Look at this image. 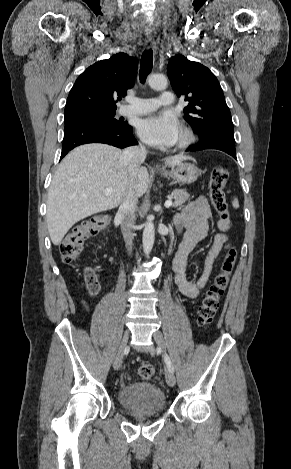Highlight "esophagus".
Segmentation results:
<instances>
[{"label": "esophagus", "mask_w": 291, "mask_h": 469, "mask_svg": "<svg viewBox=\"0 0 291 469\" xmlns=\"http://www.w3.org/2000/svg\"><path fill=\"white\" fill-rule=\"evenodd\" d=\"M145 44H146L147 47H153V48L155 47V43H154V41H153L152 38L146 39ZM154 167L158 168L159 165H158V164H154Z\"/></svg>", "instance_id": "34e87169"}]
</instances>
